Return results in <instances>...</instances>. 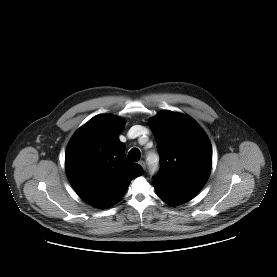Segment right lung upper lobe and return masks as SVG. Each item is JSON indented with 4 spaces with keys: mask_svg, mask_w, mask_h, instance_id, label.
<instances>
[{
    "mask_svg": "<svg viewBox=\"0 0 277 277\" xmlns=\"http://www.w3.org/2000/svg\"><path fill=\"white\" fill-rule=\"evenodd\" d=\"M123 121L109 114L90 119L71 138L65 154L68 179L85 202L108 208L124 195L132 179L144 173L125 157L119 140Z\"/></svg>",
    "mask_w": 277,
    "mask_h": 277,
    "instance_id": "right-lung-upper-lobe-1",
    "label": "right lung upper lobe"
}]
</instances>
